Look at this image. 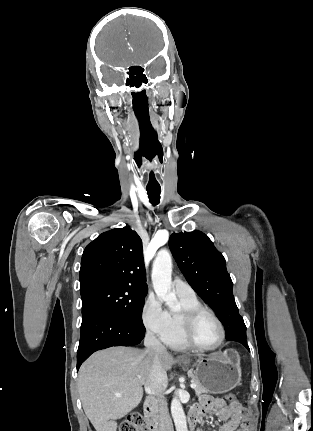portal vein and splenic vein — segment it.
I'll return each instance as SVG.
<instances>
[{
    "instance_id": "portal-vein-and-splenic-vein-1",
    "label": "portal vein and splenic vein",
    "mask_w": 313,
    "mask_h": 431,
    "mask_svg": "<svg viewBox=\"0 0 313 431\" xmlns=\"http://www.w3.org/2000/svg\"><path fill=\"white\" fill-rule=\"evenodd\" d=\"M190 386H191V388H193V389H195V388H196V384H195L194 382H192ZM117 396H119V395H117Z\"/></svg>"
}]
</instances>
